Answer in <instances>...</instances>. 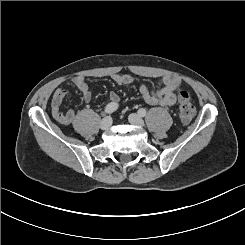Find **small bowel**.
<instances>
[{
    "instance_id": "c3829d8e",
    "label": "small bowel",
    "mask_w": 245,
    "mask_h": 245,
    "mask_svg": "<svg viewBox=\"0 0 245 245\" xmlns=\"http://www.w3.org/2000/svg\"><path fill=\"white\" fill-rule=\"evenodd\" d=\"M112 80L118 85H130L133 78L129 74L115 73ZM72 84L79 90L84 101L90 100L91 94L86 79L83 76H76L71 80ZM163 87L159 90H151L144 83L140 84L139 91L143 101L150 106H172L177 101L176 89L180 85L181 80L176 75H165L162 77ZM68 97V91L63 88L55 90L52 101V115L60 124L70 125L74 118L75 112L72 109L63 111L61 109L63 101ZM120 97L117 93L111 92L109 95L110 103L118 104Z\"/></svg>"
}]
</instances>
